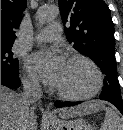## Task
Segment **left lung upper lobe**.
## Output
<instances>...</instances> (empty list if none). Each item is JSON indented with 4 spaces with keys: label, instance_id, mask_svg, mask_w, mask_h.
<instances>
[{
    "label": "left lung upper lobe",
    "instance_id": "obj_1",
    "mask_svg": "<svg viewBox=\"0 0 123 130\" xmlns=\"http://www.w3.org/2000/svg\"><path fill=\"white\" fill-rule=\"evenodd\" d=\"M67 39L105 75L100 98L123 107L116 75L114 25L103 0H58Z\"/></svg>",
    "mask_w": 123,
    "mask_h": 130
}]
</instances>
